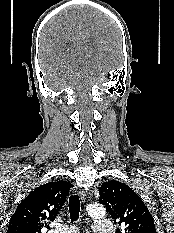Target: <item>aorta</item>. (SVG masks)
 Segmentation results:
<instances>
[{
	"instance_id": "762f6f07",
	"label": "aorta",
	"mask_w": 174,
	"mask_h": 233,
	"mask_svg": "<svg viewBox=\"0 0 174 233\" xmlns=\"http://www.w3.org/2000/svg\"><path fill=\"white\" fill-rule=\"evenodd\" d=\"M87 212L91 217L102 218L105 216L106 210L100 204H90L87 207Z\"/></svg>"
}]
</instances>
